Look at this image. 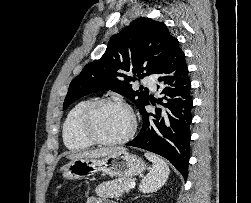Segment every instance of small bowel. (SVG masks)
Instances as JSON below:
<instances>
[{
	"instance_id": "small-bowel-1",
	"label": "small bowel",
	"mask_w": 251,
	"mask_h": 203,
	"mask_svg": "<svg viewBox=\"0 0 251 203\" xmlns=\"http://www.w3.org/2000/svg\"><path fill=\"white\" fill-rule=\"evenodd\" d=\"M86 203H114V202L106 201L100 197L92 196L86 200Z\"/></svg>"
}]
</instances>
